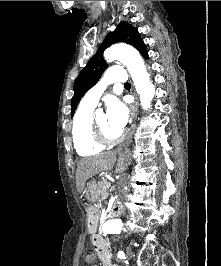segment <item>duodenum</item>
I'll list each match as a JSON object with an SVG mask.
<instances>
[{"label": "duodenum", "instance_id": "obj_1", "mask_svg": "<svg viewBox=\"0 0 221 266\" xmlns=\"http://www.w3.org/2000/svg\"><path fill=\"white\" fill-rule=\"evenodd\" d=\"M110 214H111L112 216H119V215L121 214V206H120V204H118V203H114V204L111 206ZM88 225H89L90 228H92V227L94 226L93 221H90Z\"/></svg>", "mask_w": 221, "mask_h": 266}]
</instances>
